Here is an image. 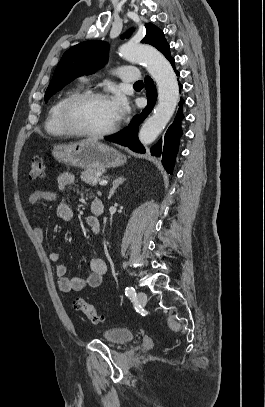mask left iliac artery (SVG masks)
<instances>
[{"label":"left iliac artery","instance_id":"1","mask_svg":"<svg viewBox=\"0 0 265 407\" xmlns=\"http://www.w3.org/2000/svg\"><path fill=\"white\" fill-rule=\"evenodd\" d=\"M125 294H126V296H128V297H130V298L136 296V292H135V289H134L133 287H127V288L125 289Z\"/></svg>","mask_w":265,"mask_h":407}]
</instances>
